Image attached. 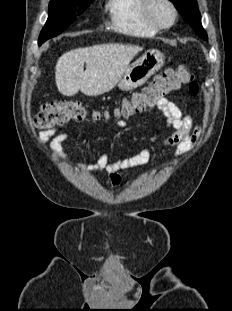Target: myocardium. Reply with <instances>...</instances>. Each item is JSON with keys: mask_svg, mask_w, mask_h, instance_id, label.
<instances>
[{"mask_svg": "<svg viewBox=\"0 0 232 311\" xmlns=\"http://www.w3.org/2000/svg\"><path fill=\"white\" fill-rule=\"evenodd\" d=\"M157 1L166 3L172 12V19L168 24H160L156 22L151 16V12H150L151 6L153 3ZM142 15H143L144 20L153 28L157 30H166V29L171 28L175 24L177 20V8L171 0H143Z\"/></svg>", "mask_w": 232, "mask_h": 311, "instance_id": "1", "label": "myocardium"}]
</instances>
